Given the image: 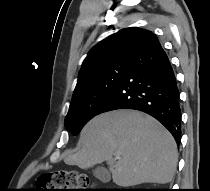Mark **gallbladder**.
<instances>
[{
  "mask_svg": "<svg viewBox=\"0 0 210 191\" xmlns=\"http://www.w3.org/2000/svg\"><path fill=\"white\" fill-rule=\"evenodd\" d=\"M94 175L99 178L100 180H103V175H106V179L109 180L110 175L108 174L107 170L103 167H97L94 170Z\"/></svg>",
  "mask_w": 210,
  "mask_h": 191,
  "instance_id": "gallbladder-1",
  "label": "gallbladder"
}]
</instances>
